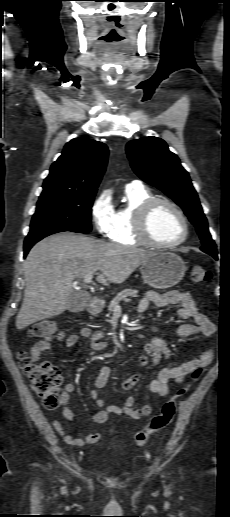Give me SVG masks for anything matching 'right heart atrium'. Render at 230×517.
I'll return each mask as SVG.
<instances>
[{
	"instance_id": "right-heart-atrium-1",
	"label": "right heart atrium",
	"mask_w": 230,
	"mask_h": 517,
	"mask_svg": "<svg viewBox=\"0 0 230 517\" xmlns=\"http://www.w3.org/2000/svg\"><path fill=\"white\" fill-rule=\"evenodd\" d=\"M90 213L96 231L104 237H109L114 227L116 214L109 196L107 194L98 195L91 205Z\"/></svg>"
}]
</instances>
